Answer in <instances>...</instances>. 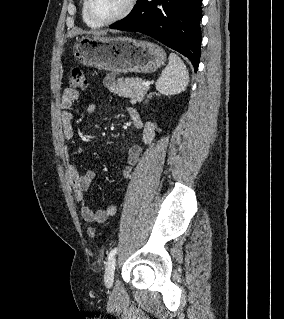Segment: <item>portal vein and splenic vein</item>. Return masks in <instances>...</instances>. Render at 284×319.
I'll return each instance as SVG.
<instances>
[{
	"instance_id": "18ae733b",
	"label": "portal vein and splenic vein",
	"mask_w": 284,
	"mask_h": 319,
	"mask_svg": "<svg viewBox=\"0 0 284 319\" xmlns=\"http://www.w3.org/2000/svg\"><path fill=\"white\" fill-rule=\"evenodd\" d=\"M144 86H150V82L149 81H143L142 83Z\"/></svg>"
}]
</instances>
